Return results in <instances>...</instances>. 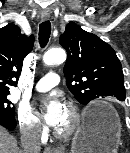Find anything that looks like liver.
<instances>
[{
  "label": "liver",
  "instance_id": "liver-1",
  "mask_svg": "<svg viewBox=\"0 0 130 153\" xmlns=\"http://www.w3.org/2000/svg\"><path fill=\"white\" fill-rule=\"evenodd\" d=\"M0 153H20L17 140L0 125Z\"/></svg>",
  "mask_w": 130,
  "mask_h": 153
}]
</instances>
